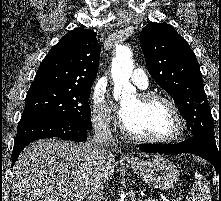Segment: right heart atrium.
I'll return each instance as SVG.
<instances>
[{"instance_id":"obj_1","label":"right heart atrium","mask_w":221,"mask_h":201,"mask_svg":"<svg viewBox=\"0 0 221 201\" xmlns=\"http://www.w3.org/2000/svg\"><path fill=\"white\" fill-rule=\"evenodd\" d=\"M91 120L95 128L106 131L109 130L112 124V116L110 109L101 93H96L93 96Z\"/></svg>"}]
</instances>
